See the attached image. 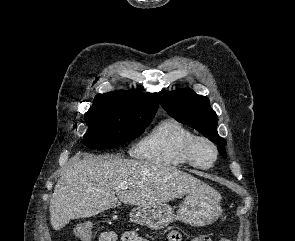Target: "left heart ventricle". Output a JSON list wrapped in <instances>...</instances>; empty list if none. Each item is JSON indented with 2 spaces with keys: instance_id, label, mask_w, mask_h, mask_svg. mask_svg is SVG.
Masks as SVG:
<instances>
[{
  "instance_id": "left-heart-ventricle-1",
  "label": "left heart ventricle",
  "mask_w": 295,
  "mask_h": 241,
  "mask_svg": "<svg viewBox=\"0 0 295 241\" xmlns=\"http://www.w3.org/2000/svg\"><path fill=\"white\" fill-rule=\"evenodd\" d=\"M195 156L200 164L208 165L213 159V151L206 143L200 142L196 147Z\"/></svg>"
}]
</instances>
